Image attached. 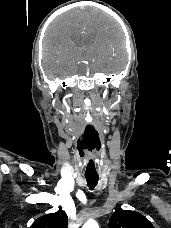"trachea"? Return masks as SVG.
<instances>
[{"instance_id":"1","label":"trachea","mask_w":171,"mask_h":228,"mask_svg":"<svg viewBox=\"0 0 171 228\" xmlns=\"http://www.w3.org/2000/svg\"><path fill=\"white\" fill-rule=\"evenodd\" d=\"M88 187L90 190H93L94 187L97 185L99 176H90V175H85Z\"/></svg>"}]
</instances>
